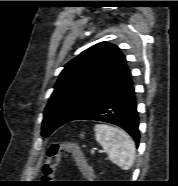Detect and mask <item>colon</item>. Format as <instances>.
I'll return each mask as SVG.
<instances>
[{"instance_id":"obj_1","label":"colon","mask_w":178,"mask_h":186,"mask_svg":"<svg viewBox=\"0 0 178 186\" xmlns=\"http://www.w3.org/2000/svg\"><path fill=\"white\" fill-rule=\"evenodd\" d=\"M64 152H70L75 157L76 163L83 173L90 172V168L79 150L73 144L53 143L47 150L46 159L42 165V178L46 181L54 177L55 169Z\"/></svg>"}]
</instances>
